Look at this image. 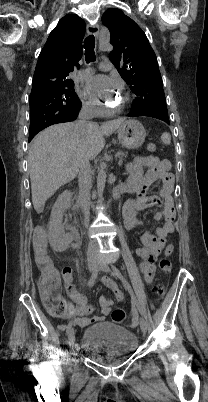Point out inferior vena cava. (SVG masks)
<instances>
[{"mask_svg": "<svg viewBox=\"0 0 208 402\" xmlns=\"http://www.w3.org/2000/svg\"><path fill=\"white\" fill-rule=\"evenodd\" d=\"M93 108L91 104H83L78 120L76 122L78 128L80 130H85V128H89L92 126L91 122H87V120H91L93 118ZM78 168H79V196L78 202L82 208V212L85 218V226H88L89 222V208H90V190L92 188V170L90 168L89 158H87L86 152H80L78 156ZM90 246H94V242H90Z\"/></svg>", "mask_w": 208, "mask_h": 402, "instance_id": "602c4592", "label": "inferior vena cava"}]
</instances>
